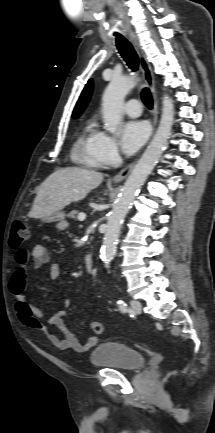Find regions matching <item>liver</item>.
<instances>
[{"mask_svg": "<svg viewBox=\"0 0 215 433\" xmlns=\"http://www.w3.org/2000/svg\"><path fill=\"white\" fill-rule=\"evenodd\" d=\"M103 181V174L81 167L57 169L38 187L31 218H45L72 202L83 200Z\"/></svg>", "mask_w": 215, "mask_h": 433, "instance_id": "liver-1", "label": "liver"}]
</instances>
